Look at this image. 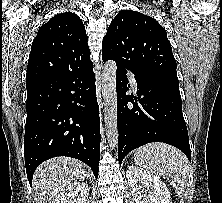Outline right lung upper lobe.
<instances>
[{
	"instance_id": "right-lung-upper-lobe-1",
	"label": "right lung upper lobe",
	"mask_w": 222,
	"mask_h": 203,
	"mask_svg": "<svg viewBox=\"0 0 222 203\" xmlns=\"http://www.w3.org/2000/svg\"><path fill=\"white\" fill-rule=\"evenodd\" d=\"M87 40L83 22L76 14L54 16L38 30L32 43L26 84L92 66Z\"/></svg>"
}]
</instances>
